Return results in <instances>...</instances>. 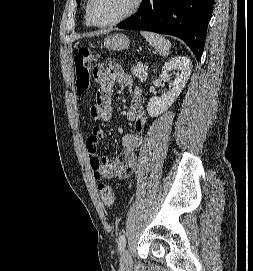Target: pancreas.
I'll return each mask as SVG.
<instances>
[{
	"mask_svg": "<svg viewBox=\"0 0 253 271\" xmlns=\"http://www.w3.org/2000/svg\"><path fill=\"white\" fill-rule=\"evenodd\" d=\"M131 72L134 76H136L141 81H144L147 78V69L146 68L143 69L142 67L134 66L131 69Z\"/></svg>",
	"mask_w": 253,
	"mask_h": 271,
	"instance_id": "obj_1",
	"label": "pancreas"
}]
</instances>
